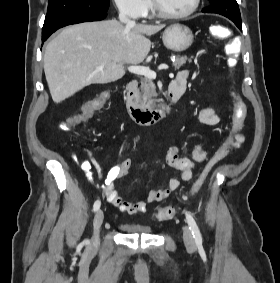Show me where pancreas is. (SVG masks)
Segmentation results:
<instances>
[{
    "label": "pancreas",
    "instance_id": "1",
    "mask_svg": "<svg viewBox=\"0 0 280 283\" xmlns=\"http://www.w3.org/2000/svg\"><path fill=\"white\" fill-rule=\"evenodd\" d=\"M172 56L175 57V62L173 63V66L176 69H180V67H182L187 62L190 63L191 59L193 58V56L189 58L187 56H180V55H174V54ZM157 95L158 94L156 92V86L154 82L152 81V79H148V78L141 79L140 97H141L142 106L145 108L154 107L155 103L158 101L156 99Z\"/></svg>",
    "mask_w": 280,
    "mask_h": 283
}]
</instances>
